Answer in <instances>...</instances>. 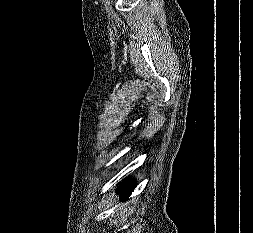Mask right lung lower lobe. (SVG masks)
Returning a JSON list of instances; mask_svg holds the SVG:
<instances>
[{"label": "right lung lower lobe", "mask_w": 253, "mask_h": 233, "mask_svg": "<svg viewBox=\"0 0 253 233\" xmlns=\"http://www.w3.org/2000/svg\"><path fill=\"white\" fill-rule=\"evenodd\" d=\"M134 187H135V182H133L130 179H126L125 181L121 183V185L116 190V192L120 194V199L123 200V199L128 198V195L131 193Z\"/></svg>", "instance_id": "1"}]
</instances>
